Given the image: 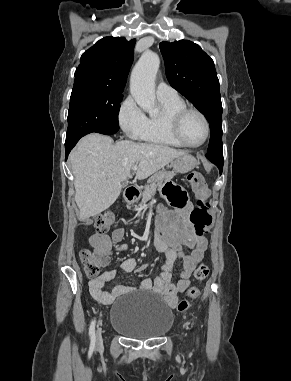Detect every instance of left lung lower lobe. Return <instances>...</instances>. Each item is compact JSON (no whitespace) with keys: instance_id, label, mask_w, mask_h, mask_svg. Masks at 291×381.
I'll use <instances>...</instances> for the list:
<instances>
[{"instance_id":"obj_1","label":"left lung lower lobe","mask_w":291,"mask_h":381,"mask_svg":"<svg viewBox=\"0 0 291 381\" xmlns=\"http://www.w3.org/2000/svg\"><path fill=\"white\" fill-rule=\"evenodd\" d=\"M206 157L217 167L219 168L220 174L222 173L223 170V154L222 155H217V154H206Z\"/></svg>"}]
</instances>
